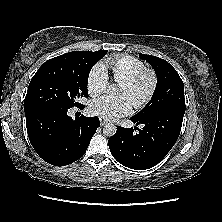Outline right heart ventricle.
Returning <instances> with one entry per match:
<instances>
[{"label":"right heart ventricle","instance_id":"right-heart-ventricle-1","mask_svg":"<svg viewBox=\"0 0 222 222\" xmlns=\"http://www.w3.org/2000/svg\"><path fill=\"white\" fill-rule=\"evenodd\" d=\"M105 70H110L115 81L123 82L141 70L145 69L144 63L129 55H116L108 58L104 66Z\"/></svg>","mask_w":222,"mask_h":222}]
</instances>
